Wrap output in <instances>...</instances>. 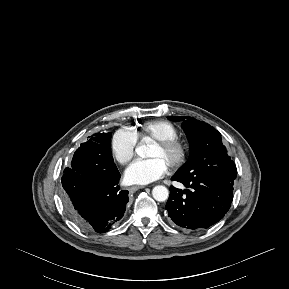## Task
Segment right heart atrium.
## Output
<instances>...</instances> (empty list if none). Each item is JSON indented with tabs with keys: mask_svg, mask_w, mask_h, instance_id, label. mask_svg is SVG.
<instances>
[{
	"mask_svg": "<svg viewBox=\"0 0 289 289\" xmlns=\"http://www.w3.org/2000/svg\"><path fill=\"white\" fill-rule=\"evenodd\" d=\"M137 138L134 133L121 128L115 131L111 137L110 148L114 158L122 165L127 164L135 155Z\"/></svg>",
	"mask_w": 289,
	"mask_h": 289,
	"instance_id": "d8ad5b80",
	"label": "right heart atrium"
}]
</instances>
